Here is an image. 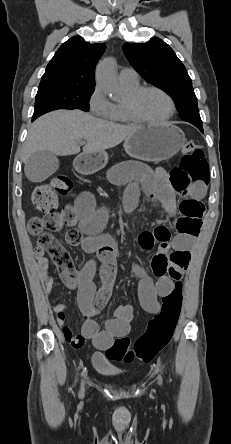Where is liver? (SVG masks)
<instances>
[{"label":"liver","instance_id":"liver-1","mask_svg":"<svg viewBox=\"0 0 231 444\" xmlns=\"http://www.w3.org/2000/svg\"><path fill=\"white\" fill-rule=\"evenodd\" d=\"M139 128L97 119L80 110L52 111L31 125L23 145V161L26 163L37 151H49L59 156L78 154L81 140L87 142L82 154L105 152Z\"/></svg>","mask_w":231,"mask_h":444}]
</instances>
